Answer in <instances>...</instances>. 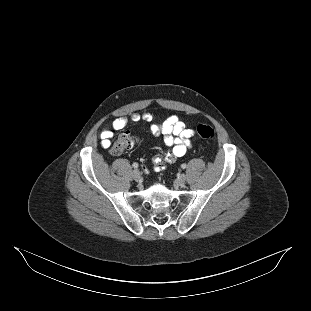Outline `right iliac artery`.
<instances>
[{
    "instance_id": "82829eb1",
    "label": "right iliac artery",
    "mask_w": 311,
    "mask_h": 311,
    "mask_svg": "<svg viewBox=\"0 0 311 311\" xmlns=\"http://www.w3.org/2000/svg\"><path fill=\"white\" fill-rule=\"evenodd\" d=\"M132 166H133L134 168H138V164H137V163H133Z\"/></svg>"
}]
</instances>
